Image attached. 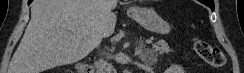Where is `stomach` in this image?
Segmentation results:
<instances>
[{"label":"stomach","mask_w":244,"mask_h":73,"mask_svg":"<svg viewBox=\"0 0 244 73\" xmlns=\"http://www.w3.org/2000/svg\"><path fill=\"white\" fill-rule=\"evenodd\" d=\"M128 15L152 33L166 35L171 30L169 22L152 8L133 7L128 11Z\"/></svg>","instance_id":"1"}]
</instances>
